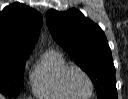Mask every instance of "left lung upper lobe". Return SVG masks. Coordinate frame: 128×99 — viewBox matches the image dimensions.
<instances>
[{"mask_svg": "<svg viewBox=\"0 0 128 99\" xmlns=\"http://www.w3.org/2000/svg\"><path fill=\"white\" fill-rule=\"evenodd\" d=\"M46 21L55 41L90 77L98 99L117 96L115 67L103 30L74 8L49 10Z\"/></svg>", "mask_w": 128, "mask_h": 99, "instance_id": "left-lung-upper-lobe-1", "label": "left lung upper lobe"}]
</instances>
